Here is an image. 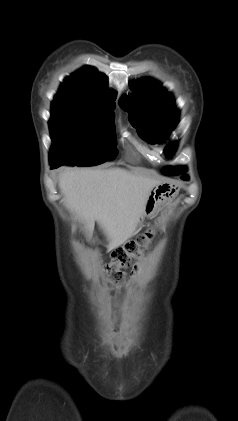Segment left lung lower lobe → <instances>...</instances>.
Instances as JSON below:
<instances>
[{
  "mask_svg": "<svg viewBox=\"0 0 238 421\" xmlns=\"http://www.w3.org/2000/svg\"><path fill=\"white\" fill-rule=\"evenodd\" d=\"M169 175L175 176V175H178V174H176L175 172H171V173H169ZM183 179L186 180V179H188V177L187 176H184Z\"/></svg>",
  "mask_w": 238,
  "mask_h": 421,
  "instance_id": "left-lung-lower-lobe-1",
  "label": "left lung lower lobe"
}]
</instances>
